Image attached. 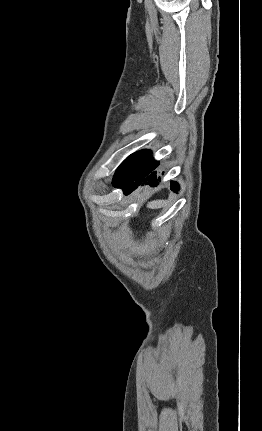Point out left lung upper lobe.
<instances>
[{"label":"left lung upper lobe","instance_id":"left-lung-upper-lobe-1","mask_svg":"<svg viewBox=\"0 0 262 431\" xmlns=\"http://www.w3.org/2000/svg\"><path fill=\"white\" fill-rule=\"evenodd\" d=\"M136 153L130 155L123 163L118 167L114 177H113V186L114 187H122L125 185L129 178L131 177V165L133 163V159Z\"/></svg>","mask_w":262,"mask_h":431}]
</instances>
